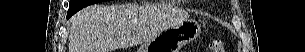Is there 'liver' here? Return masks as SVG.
<instances>
[{"label": "liver", "mask_w": 305, "mask_h": 52, "mask_svg": "<svg viewBox=\"0 0 305 52\" xmlns=\"http://www.w3.org/2000/svg\"><path fill=\"white\" fill-rule=\"evenodd\" d=\"M159 32L144 7L92 5L70 20L69 52H112L150 41Z\"/></svg>", "instance_id": "obj_1"}]
</instances>
